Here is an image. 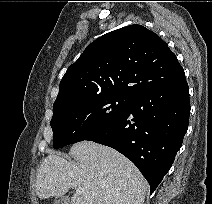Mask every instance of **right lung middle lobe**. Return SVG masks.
Returning <instances> with one entry per match:
<instances>
[{
  "label": "right lung middle lobe",
  "mask_w": 212,
  "mask_h": 204,
  "mask_svg": "<svg viewBox=\"0 0 212 204\" xmlns=\"http://www.w3.org/2000/svg\"><path fill=\"white\" fill-rule=\"evenodd\" d=\"M128 102L129 97L107 95L53 109V147L83 141L112 125L122 116Z\"/></svg>",
  "instance_id": "right-lung-middle-lobe-1"
}]
</instances>
